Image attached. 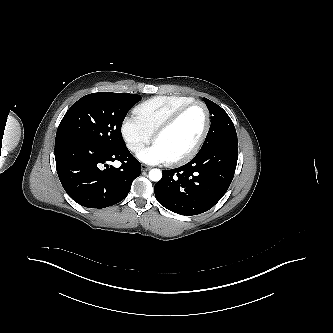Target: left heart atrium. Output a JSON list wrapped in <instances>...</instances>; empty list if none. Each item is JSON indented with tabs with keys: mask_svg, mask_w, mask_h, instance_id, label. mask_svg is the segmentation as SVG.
I'll return each instance as SVG.
<instances>
[{
	"mask_svg": "<svg viewBox=\"0 0 333 333\" xmlns=\"http://www.w3.org/2000/svg\"><path fill=\"white\" fill-rule=\"evenodd\" d=\"M138 158L148 164H158L168 160L163 150L156 143L141 150L138 153Z\"/></svg>",
	"mask_w": 333,
	"mask_h": 333,
	"instance_id": "left-heart-atrium-1",
	"label": "left heart atrium"
}]
</instances>
